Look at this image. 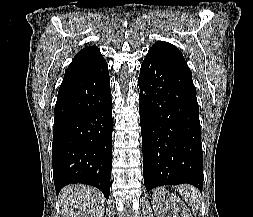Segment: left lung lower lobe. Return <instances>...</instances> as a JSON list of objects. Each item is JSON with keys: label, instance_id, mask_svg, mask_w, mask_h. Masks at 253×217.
<instances>
[{"label": "left lung lower lobe", "instance_id": "0a47b994", "mask_svg": "<svg viewBox=\"0 0 253 217\" xmlns=\"http://www.w3.org/2000/svg\"><path fill=\"white\" fill-rule=\"evenodd\" d=\"M138 85L146 190L190 183L202 191L199 106L192 77L147 54Z\"/></svg>", "mask_w": 253, "mask_h": 217}]
</instances>
